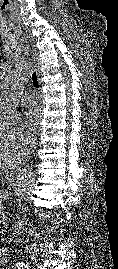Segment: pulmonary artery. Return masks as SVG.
<instances>
[{"label": "pulmonary artery", "mask_w": 118, "mask_h": 269, "mask_svg": "<svg viewBox=\"0 0 118 269\" xmlns=\"http://www.w3.org/2000/svg\"><path fill=\"white\" fill-rule=\"evenodd\" d=\"M37 102H38V96L33 90L26 91L21 98V103L22 105L25 106L34 105Z\"/></svg>", "instance_id": "pulmonary-artery-1"}]
</instances>
